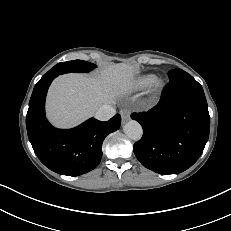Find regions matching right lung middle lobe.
Returning a JSON list of instances; mask_svg holds the SVG:
<instances>
[{"mask_svg": "<svg viewBox=\"0 0 231 231\" xmlns=\"http://www.w3.org/2000/svg\"><path fill=\"white\" fill-rule=\"evenodd\" d=\"M96 68V65L82 61L73 60L68 62H61L50 69L41 79H46L50 76H58L69 72H89Z\"/></svg>", "mask_w": 231, "mask_h": 231, "instance_id": "1", "label": "right lung middle lobe"}]
</instances>
